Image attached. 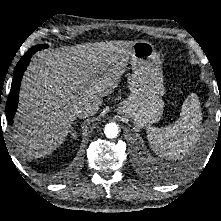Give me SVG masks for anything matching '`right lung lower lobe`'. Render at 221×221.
<instances>
[{
  "label": "right lung lower lobe",
  "instance_id": "obj_1",
  "mask_svg": "<svg viewBox=\"0 0 221 221\" xmlns=\"http://www.w3.org/2000/svg\"><path fill=\"white\" fill-rule=\"evenodd\" d=\"M38 50L30 48L27 53L20 59L18 64L15 67L14 70V78L11 85V90L7 99L6 103V118L8 119V123L11 124L12 118L15 114V111L17 109L18 105V98H19V88L20 83L22 80V76L24 71L26 70V67L29 64V60L31 59V56Z\"/></svg>",
  "mask_w": 221,
  "mask_h": 221
}]
</instances>
